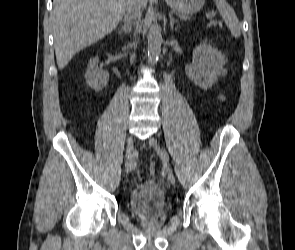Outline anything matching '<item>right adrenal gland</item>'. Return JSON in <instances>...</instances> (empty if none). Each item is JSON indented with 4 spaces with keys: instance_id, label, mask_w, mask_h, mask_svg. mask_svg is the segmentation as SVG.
Listing matches in <instances>:
<instances>
[{
    "instance_id": "right-adrenal-gland-1",
    "label": "right adrenal gland",
    "mask_w": 295,
    "mask_h": 250,
    "mask_svg": "<svg viewBox=\"0 0 295 250\" xmlns=\"http://www.w3.org/2000/svg\"><path fill=\"white\" fill-rule=\"evenodd\" d=\"M129 29H130V26L127 25V24H124V25L122 26V28H121V31H123V32H127Z\"/></svg>"
}]
</instances>
